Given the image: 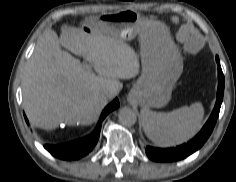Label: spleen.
I'll use <instances>...</instances> for the list:
<instances>
[{"label": "spleen", "mask_w": 236, "mask_h": 182, "mask_svg": "<svg viewBox=\"0 0 236 182\" xmlns=\"http://www.w3.org/2000/svg\"><path fill=\"white\" fill-rule=\"evenodd\" d=\"M204 108L200 102L171 112L141 110L142 127L155 144L169 147L191 139L202 127Z\"/></svg>", "instance_id": "3e777b00"}]
</instances>
